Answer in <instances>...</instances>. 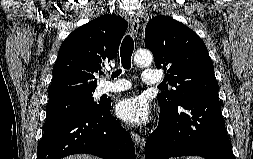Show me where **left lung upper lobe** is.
<instances>
[{
	"label": "left lung upper lobe",
	"mask_w": 253,
	"mask_h": 159,
	"mask_svg": "<svg viewBox=\"0 0 253 159\" xmlns=\"http://www.w3.org/2000/svg\"><path fill=\"white\" fill-rule=\"evenodd\" d=\"M145 45L156 67L167 71L165 80L175 87L157 95L160 107L174 109L192 99L219 101L213 63L193 30L170 17L155 16L146 26Z\"/></svg>",
	"instance_id": "left-lung-upper-lobe-1"
}]
</instances>
